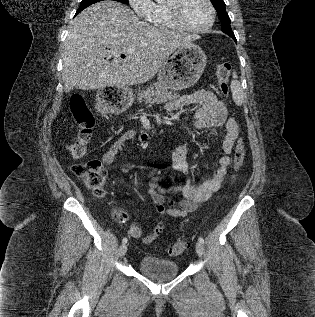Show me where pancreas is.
<instances>
[{"label":"pancreas","instance_id":"cf45deb5","mask_svg":"<svg viewBox=\"0 0 315 317\" xmlns=\"http://www.w3.org/2000/svg\"><path fill=\"white\" fill-rule=\"evenodd\" d=\"M178 97L176 92H171L167 87L156 84L138 93V102L148 103H166L169 100Z\"/></svg>","mask_w":315,"mask_h":317}]
</instances>
